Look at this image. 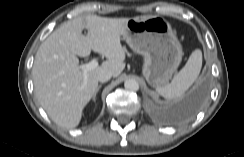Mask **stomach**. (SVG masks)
I'll return each mask as SVG.
<instances>
[{"label":"stomach","mask_w":244,"mask_h":157,"mask_svg":"<svg viewBox=\"0 0 244 157\" xmlns=\"http://www.w3.org/2000/svg\"><path fill=\"white\" fill-rule=\"evenodd\" d=\"M129 47L144 58L143 76L157 88L166 85L179 67L182 46L163 17L143 15L130 18L122 31Z\"/></svg>","instance_id":"obj_1"}]
</instances>
